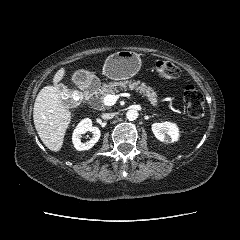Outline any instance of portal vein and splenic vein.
Wrapping results in <instances>:
<instances>
[{"label":"portal vein and splenic vein","instance_id":"portal-vein-and-splenic-vein-1","mask_svg":"<svg viewBox=\"0 0 240 240\" xmlns=\"http://www.w3.org/2000/svg\"><path fill=\"white\" fill-rule=\"evenodd\" d=\"M124 96V94H117V95H106L103 99V103L106 106H113L116 101L119 99V97Z\"/></svg>","mask_w":240,"mask_h":240}]
</instances>
